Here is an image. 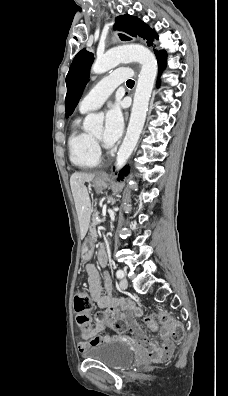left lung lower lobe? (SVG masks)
<instances>
[{
	"mask_svg": "<svg viewBox=\"0 0 228 396\" xmlns=\"http://www.w3.org/2000/svg\"><path fill=\"white\" fill-rule=\"evenodd\" d=\"M152 45H153L152 41H150L148 43V46H152ZM155 54H156V56L158 58L159 73H161L163 71V69L165 68V65H166V56H167V54H166L165 51H155ZM120 173H121L122 176H125L128 173V170L127 169L126 170H122ZM122 178L123 177H121V179Z\"/></svg>",
	"mask_w": 228,
	"mask_h": 396,
	"instance_id": "left-lung-lower-lobe-1",
	"label": "left lung lower lobe"
}]
</instances>
